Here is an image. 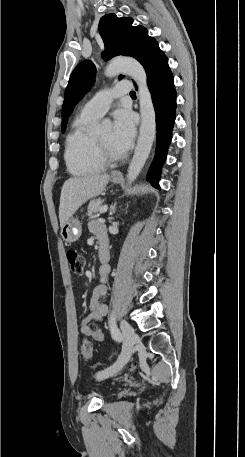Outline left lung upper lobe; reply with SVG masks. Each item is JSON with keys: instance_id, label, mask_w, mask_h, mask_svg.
Masks as SVG:
<instances>
[{"instance_id": "1", "label": "left lung upper lobe", "mask_w": 245, "mask_h": 457, "mask_svg": "<svg viewBox=\"0 0 245 457\" xmlns=\"http://www.w3.org/2000/svg\"><path fill=\"white\" fill-rule=\"evenodd\" d=\"M132 18H118L107 14L100 19L99 33L103 39L104 60L124 55L136 58L141 64L153 51L159 49L157 41L148 35L143 26H132ZM123 76H120L121 79ZM95 66L89 60L77 65L73 70L65 90L62 106V132L64 133L67 117L75 105L83 98L89 87L94 84Z\"/></svg>"}]
</instances>
